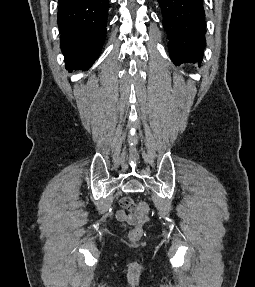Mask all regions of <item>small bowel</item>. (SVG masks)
I'll return each mask as SVG.
<instances>
[{
	"mask_svg": "<svg viewBox=\"0 0 255 287\" xmlns=\"http://www.w3.org/2000/svg\"><path fill=\"white\" fill-rule=\"evenodd\" d=\"M119 205L120 209L116 212L115 218L120 226L125 228L132 227L141 221L138 208L131 198H122L119 202ZM143 221L144 223H148L149 219L146 218Z\"/></svg>",
	"mask_w": 255,
	"mask_h": 287,
	"instance_id": "obj_1",
	"label": "small bowel"
}]
</instances>
